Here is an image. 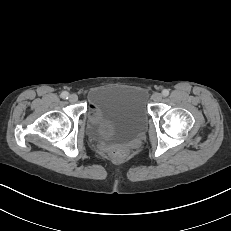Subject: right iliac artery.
Here are the masks:
<instances>
[{"mask_svg":"<svg viewBox=\"0 0 231 231\" xmlns=\"http://www.w3.org/2000/svg\"><path fill=\"white\" fill-rule=\"evenodd\" d=\"M61 98H63V99H68V97H69V93L68 92H66V91H63L62 93H61Z\"/></svg>","mask_w":231,"mask_h":231,"instance_id":"1","label":"right iliac artery"}]
</instances>
